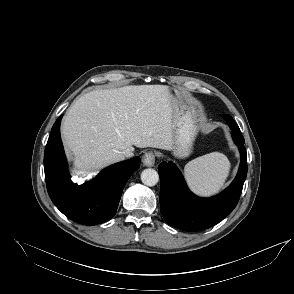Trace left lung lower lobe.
Segmentation results:
<instances>
[{"instance_id":"left-lung-lower-lobe-1","label":"left lung lower lobe","mask_w":294,"mask_h":294,"mask_svg":"<svg viewBox=\"0 0 294 294\" xmlns=\"http://www.w3.org/2000/svg\"><path fill=\"white\" fill-rule=\"evenodd\" d=\"M225 119L241 153L236 178L220 194L200 198L190 192L182 174L172 162H162L158 166L161 181L160 209L169 225L184 231H201L222 221L237 205L247 175V154L238 125L230 115H226Z\"/></svg>"}]
</instances>
